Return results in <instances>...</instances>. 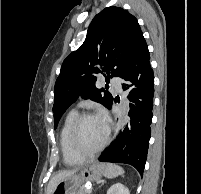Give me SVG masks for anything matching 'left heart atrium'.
Returning a JSON list of instances; mask_svg holds the SVG:
<instances>
[{
    "label": "left heart atrium",
    "instance_id": "left-heart-atrium-1",
    "mask_svg": "<svg viewBox=\"0 0 201 194\" xmlns=\"http://www.w3.org/2000/svg\"><path fill=\"white\" fill-rule=\"evenodd\" d=\"M96 117L99 119V121L102 124L105 132L108 133L109 127H108V121H107V117H106L105 112L100 111Z\"/></svg>",
    "mask_w": 201,
    "mask_h": 194
}]
</instances>
